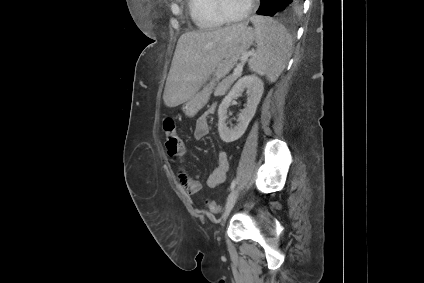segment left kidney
I'll return each instance as SVG.
<instances>
[{
	"instance_id": "obj_1",
	"label": "left kidney",
	"mask_w": 424,
	"mask_h": 283,
	"mask_svg": "<svg viewBox=\"0 0 424 283\" xmlns=\"http://www.w3.org/2000/svg\"><path fill=\"white\" fill-rule=\"evenodd\" d=\"M246 89L247 103L238 117V124L233 128L227 126V109L232 100L242 94ZM264 91L263 81L255 75L241 77L233 86L228 95L221 102L218 109V131L220 138L230 143L238 140L245 133L250 121L256 113L257 106L261 100Z\"/></svg>"
}]
</instances>
